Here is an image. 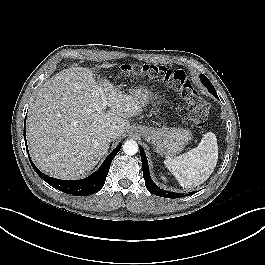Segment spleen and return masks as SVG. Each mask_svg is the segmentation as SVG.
I'll return each instance as SVG.
<instances>
[{
  "label": "spleen",
  "mask_w": 265,
  "mask_h": 265,
  "mask_svg": "<svg viewBox=\"0 0 265 265\" xmlns=\"http://www.w3.org/2000/svg\"><path fill=\"white\" fill-rule=\"evenodd\" d=\"M217 160V138L213 132H208L196 148L180 156L169 157L164 164L183 188H191L201 185L210 177Z\"/></svg>",
  "instance_id": "1"
}]
</instances>
